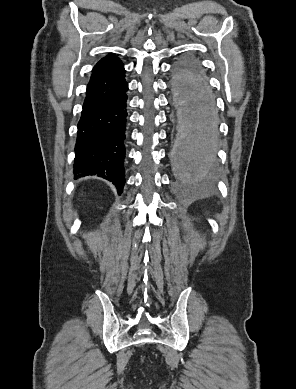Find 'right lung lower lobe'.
Listing matches in <instances>:
<instances>
[{
    "label": "right lung lower lobe",
    "instance_id": "obj_1",
    "mask_svg": "<svg viewBox=\"0 0 296 389\" xmlns=\"http://www.w3.org/2000/svg\"><path fill=\"white\" fill-rule=\"evenodd\" d=\"M128 85L105 98L85 103L78 122L74 174L107 179L121 194L125 183L124 155Z\"/></svg>",
    "mask_w": 296,
    "mask_h": 389
}]
</instances>
